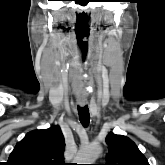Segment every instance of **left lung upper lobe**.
Returning a JSON list of instances; mask_svg holds the SVG:
<instances>
[{"label":"left lung upper lobe","instance_id":"1","mask_svg":"<svg viewBox=\"0 0 165 165\" xmlns=\"http://www.w3.org/2000/svg\"><path fill=\"white\" fill-rule=\"evenodd\" d=\"M109 152L104 165H149L138 147L128 137L112 132L106 137Z\"/></svg>","mask_w":165,"mask_h":165}]
</instances>
